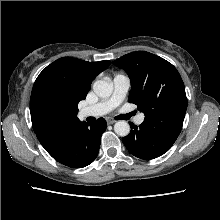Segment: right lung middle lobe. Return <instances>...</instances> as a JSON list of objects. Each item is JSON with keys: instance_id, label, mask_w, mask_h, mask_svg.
<instances>
[{"instance_id": "obj_1", "label": "right lung middle lobe", "mask_w": 220, "mask_h": 220, "mask_svg": "<svg viewBox=\"0 0 220 220\" xmlns=\"http://www.w3.org/2000/svg\"><path fill=\"white\" fill-rule=\"evenodd\" d=\"M30 112L31 118L36 122L47 126H58L78 112V109L68 104L61 87L45 84L31 94Z\"/></svg>"}]
</instances>
